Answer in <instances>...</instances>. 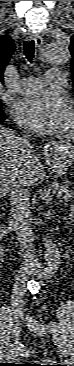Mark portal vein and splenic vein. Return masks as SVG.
<instances>
[{
    "mask_svg": "<svg viewBox=\"0 0 74 366\" xmlns=\"http://www.w3.org/2000/svg\"><path fill=\"white\" fill-rule=\"evenodd\" d=\"M59 193H63V191H59ZM58 196H61L60 194H58Z\"/></svg>",
    "mask_w": 74,
    "mask_h": 366,
    "instance_id": "1",
    "label": "portal vein and splenic vein"
}]
</instances>
